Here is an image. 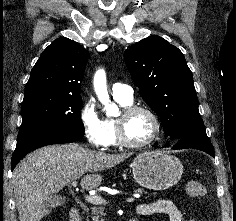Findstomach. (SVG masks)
I'll list each match as a JSON object with an SVG mask.
<instances>
[{"label": "stomach", "instance_id": "stomach-1", "mask_svg": "<svg viewBox=\"0 0 236 221\" xmlns=\"http://www.w3.org/2000/svg\"><path fill=\"white\" fill-rule=\"evenodd\" d=\"M136 182L147 189L165 190L181 179L183 165L180 160L160 151L143 152L132 163Z\"/></svg>", "mask_w": 236, "mask_h": 221}]
</instances>
